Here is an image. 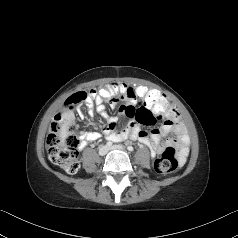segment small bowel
<instances>
[{"instance_id":"obj_1","label":"small bowel","mask_w":238,"mask_h":238,"mask_svg":"<svg viewBox=\"0 0 238 238\" xmlns=\"http://www.w3.org/2000/svg\"><path fill=\"white\" fill-rule=\"evenodd\" d=\"M134 86H128V91L124 95H118L119 101L124 102L120 107V112L129 117V122L123 130H118V118L109 117L106 113L105 106L98 99L99 94L90 90L84 102L90 111L95 110L102 116L106 125L103 127V135L110 141L121 142L126 139L139 141L149 147L152 156L160 154L167 147L175 145L178 149L179 159L182 162L188 154L190 143L184 124L179 120L177 112H173L170 116L162 119L159 128H154L150 133L143 130L141 125L152 126L156 123V116L150 111V106L146 103L144 97H139L135 93ZM67 100V99H66ZM117 103H110L115 106ZM79 116L82 112L78 110ZM61 115L63 118H74L72 107H67L64 103V111L55 116L54 120ZM169 133L176 135L175 139L163 141V137ZM101 137V133L97 131H82L79 134V149H84L90 142L96 141Z\"/></svg>"}]
</instances>
